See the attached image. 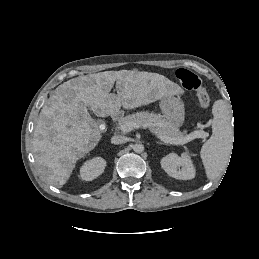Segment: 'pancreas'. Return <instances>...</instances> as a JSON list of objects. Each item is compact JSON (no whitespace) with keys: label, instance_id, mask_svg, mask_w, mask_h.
Instances as JSON below:
<instances>
[{"label":"pancreas","instance_id":"pancreas-1","mask_svg":"<svg viewBox=\"0 0 259 259\" xmlns=\"http://www.w3.org/2000/svg\"><path fill=\"white\" fill-rule=\"evenodd\" d=\"M128 122L136 123L141 128H150L153 131L156 130L159 134L168 136L170 138L178 139L185 137L173 122L166 120L160 114L143 111L128 115L119 120L118 124L120 129L122 125ZM201 131L202 130H197L193 133Z\"/></svg>","mask_w":259,"mask_h":259}]
</instances>
